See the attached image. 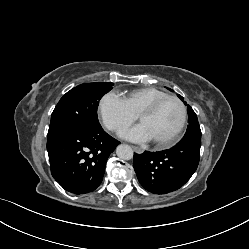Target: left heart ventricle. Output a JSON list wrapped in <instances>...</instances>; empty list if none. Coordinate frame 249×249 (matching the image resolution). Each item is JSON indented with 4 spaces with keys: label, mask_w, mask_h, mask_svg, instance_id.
<instances>
[{
    "label": "left heart ventricle",
    "mask_w": 249,
    "mask_h": 249,
    "mask_svg": "<svg viewBox=\"0 0 249 249\" xmlns=\"http://www.w3.org/2000/svg\"><path fill=\"white\" fill-rule=\"evenodd\" d=\"M182 110L175 100L163 102L153 113L141 117L140 122L149 133L151 140L160 141L168 138L178 128Z\"/></svg>",
    "instance_id": "1"
}]
</instances>
